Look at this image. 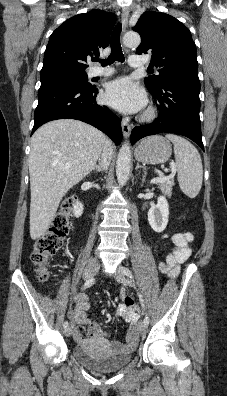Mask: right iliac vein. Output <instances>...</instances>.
<instances>
[{
    "label": "right iliac vein",
    "mask_w": 227,
    "mask_h": 396,
    "mask_svg": "<svg viewBox=\"0 0 227 396\" xmlns=\"http://www.w3.org/2000/svg\"><path fill=\"white\" fill-rule=\"evenodd\" d=\"M98 267H99V265L96 260H94V259L90 260L84 270L83 278L86 280L93 278V276H95L98 271ZM72 331H73V325L70 324L68 327L65 328L64 334L66 336H70Z\"/></svg>",
    "instance_id": "1"
}]
</instances>
